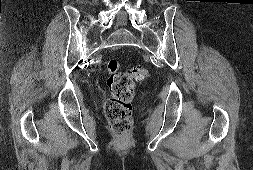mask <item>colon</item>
Returning a JSON list of instances; mask_svg holds the SVG:
<instances>
[{"mask_svg":"<svg viewBox=\"0 0 253 170\" xmlns=\"http://www.w3.org/2000/svg\"><path fill=\"white\" fill-rule=\"evenodd\" d=\"M107 73L111 95L105 102V114L118 139L123 140L132 123L131 103L134 98L135 81H145L149 72L142 66L122 71L119 62L113 59L107 64Z\"/></svg>","mask_w":253,"mask_h":170,"instance_id":"obj_1","label":"colon"}]
</instances>
